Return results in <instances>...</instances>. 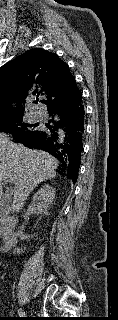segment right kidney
<instances>
[{"label":"right kidney","mask_w":118,"mask_h":320,"mask_svg":"<svg viewBox=\"0 0 118 320\" xmlns=\"http://www.w3.org/2000/svg\"><path fill=\"white\" fill-rule=\"evenodd\" d=\"M56 190L50 185H44L40 188L33 196L31 204L27 209V213H35L38 215H48V208L53 203L55 199ZM23 226L17 231L19 238L24 239L22 233Z\"/></svg>","instance_id":"right-kidney-1"}]
</instances>
